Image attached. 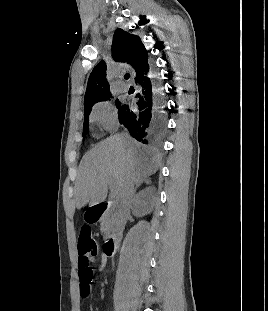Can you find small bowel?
Listing matches in <instances>:
<instances>
[{"mask_svg": "<svg viewBox=\"0 0 268 311\" xmlns=\"http://www.w3.org/2000/svg\"><path fill=\"white\" fill-rule=\"evenodd\" d=\"M106 261H107V256H106V254H101V262H100V265H99V268H98V271L99 272H102L103 270H104V267H105V265H106ZM79 295H80V297H84V296H82L81 295V293H80V287H79Z\"/></svg>", "mask_w": 268, "mask_h": 311, "instance_id": "1", "label": "small bowel"}]
</instances>
